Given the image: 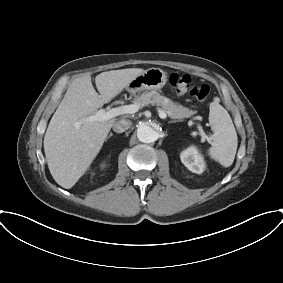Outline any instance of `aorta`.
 <instances>
[{"label":"aorta","mask_w":283,"mask_h":283,"mask_svg":"<svg viewBox=\"0 0 283 283\" xmlns=\"http://www.w3.org/2000/svg\"><path fill=\"white\" fill-rule=\"evenodd\" d=\"M137 137L143 143H152L158 139V132L151 126L142 124L137 129Z\"/></svg>","instance_id":"1"}]
</instances>
